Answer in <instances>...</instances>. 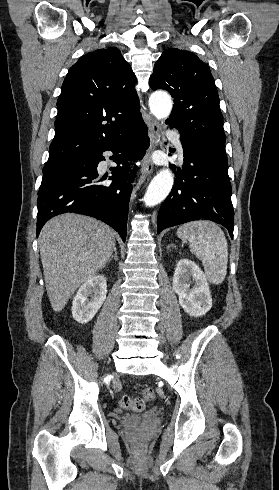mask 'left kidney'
<instances>
[{"label": "left kidney", "instance_id": "5707ae66", "mask_svg": "<svg viewBox=\"0 0 279 490\" xmlns=\"http://www.w3.org/2000/svg\"><path fill=\"white\" fill-rule=\"evenodd\" d=\"M191 278L194 284L193 288H190ZM172 288L175 294L179 296L181 308L189 316L199 318L211 310L212 298L207 278L195 262L179 260L175 268Z\"/></svg>", "mask_w": 279, "mask_h": 490}]
</instances>
